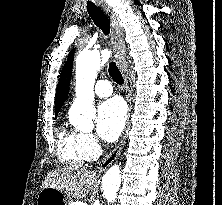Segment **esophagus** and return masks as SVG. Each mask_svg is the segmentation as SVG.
I'll return each mask as SVG.
<instances>
[{
	"instance_id": "esophagus-1",
	"label": "esophagus",
	"mask_w": 222,
	"mask_h": 205,
	"mask_svg": "<svg viewBox=\"0 0 222 205\" xmlns=\"http://www.w3.org/2000/svg\"><path fill=\"white\" fill-rule=\"evenodd\" d=\"M103 10L106 12V14L109 16L111 21V45L113 47L116 63L118 67L123 71L124 73V79H125V85H126V91H127V102H128V111L131 112L132 104H131V82L128 77V74L126 72V61H125V46L122 38V33L120 29V20L117 17V15L114 13L112 8L110 6H104ZM129 123H127L122 140L120 143L115 147V149L112 151V153L103 161L101 166L99 167L100 171H103L106 169L110 164L114 162V160L119 156L122 147L125 144L126 140V133L128 131Z\"/></svg>"
}]
</instances>
